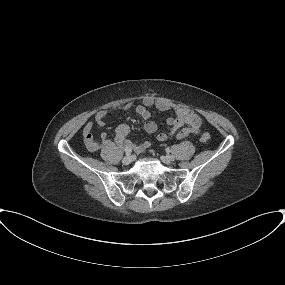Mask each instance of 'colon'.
<instances>
[{
	"label": "colon",
	"mask_w": 285,
	"mask_h": 285,
	"mask_svg": "<svg viewBox=\"0 0 285 285\" xmlns=\"http://www.w3.org/2000/svg\"><path fill=\"white\" fill-rule=\"evenodd\" d=\"M200 139L202 142H208L210 140V135L208 133H203Z\"/></svg>",
	"instance_id": "colon-1"
}]
</instances>
